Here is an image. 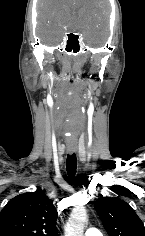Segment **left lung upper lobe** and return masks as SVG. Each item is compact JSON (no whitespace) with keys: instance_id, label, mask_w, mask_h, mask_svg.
I'll list each match as a JSON object with an SVG mask.
<instances>
[{"instance_id":"1","label":"left lung upper lobe","mask_w":145,"mask_h":236,"mask_svg":"<svg viewBox=\"0 0 145 236\" xmlns=\"http://www.w3.org/2000/svg\"><path fill=\"white\" fill-rule=\"evenodd\" d=\"M94 206L109 236H145L144 224L125 201L105 197Z\"/></svg>"}]
</instances>
